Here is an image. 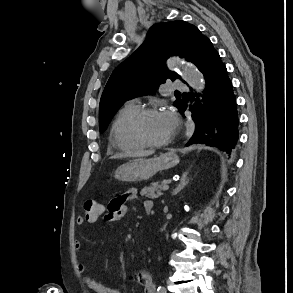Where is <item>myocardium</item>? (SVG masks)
<instances>
[{
    "label": "myocardium",
    "mask_w": 293,
    "mask_h": 293,
    "mask_svg": "<svg viewBox=\"0 0 293 293\" xmlns=\"http://www.w3.org/2000/svg\"><path fill=\"white\" fill-rule=\"evenodd\" d=\"M159 111H161V110L156 107L142 108L138 111V113L136 114V116L133 119V124H132L133 134L146 147H152V148L163 147V146L167 145L168 143H170L175 136V130H173L172 134L167 139L162 140V141H151L144 135L143 130H142V125H143L145 118L148 117L149 115L154 114Z\"/></svg>",
    "instance_id": "obj_1"
}]
</instances>
